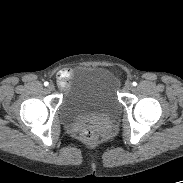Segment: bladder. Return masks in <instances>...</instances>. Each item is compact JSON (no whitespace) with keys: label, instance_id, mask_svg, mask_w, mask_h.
I'll list each match as a JSON object with an SVG mask.
<instances>
[{"label":"bladder","instance_id":"bladder-1","mask_svg":"<svg viewBox=\"0 0 183 183\" xmlns=\"http://www.w3.org/2000/svg\"><path fill=\"white\" fill-rule=\"evenodd\" d=\"M120 111L116 82L103 68H86L78 81L65 90L60 113L67 121L92 115L114 117Z\"/></svg>","mask_w":183,"mask_h":183}]
</instances>
